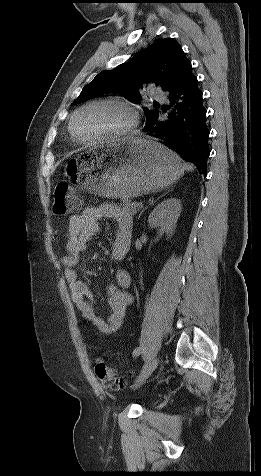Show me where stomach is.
<instances>
[{"label": "stomach", "mask_w": 261, "mask_h": 476, "mask_svg": "<svg viewBox=\"0 0 261 476\" xmlns=\"http://www.w3.org/2000/svg\"><path fill=\"white\" fill-rule=\"evenodd\" d=\"M67 173L71 183L90 192L130 199L172 185L184 174V165L156 140L130 135L73 156Z\"/></svg>", "instance_id": "obj_1"}]
</instances>
